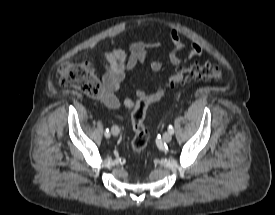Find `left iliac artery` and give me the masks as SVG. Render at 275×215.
<instances>
[{
  "instance_id": "1",
  "label": "left iliac artery",
  "mask_w": 275,
  "mask_h": 215,
  "mask_svg": "<svg viewBox=\"0 0 275 215\" xmlns=\"http://www.w3.org/2000/svg\"><path fill=\"white\" fill-rule=\"evenodd\" d=\"M168 131H169L171 134L174 133V129H173L172 125H169V126H168Z\"/></svg>"
}]
</instances>
